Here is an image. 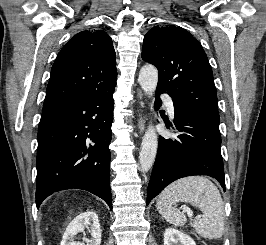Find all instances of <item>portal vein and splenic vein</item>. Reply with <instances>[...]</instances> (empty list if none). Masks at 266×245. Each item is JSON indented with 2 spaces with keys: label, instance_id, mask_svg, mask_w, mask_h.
Listing matches in <instances>:
<instances>
[{
  "label": "portal vein and splenic vein",
  "instance_id": "1",
  "mask_svg": "<svg viewBox=\"0 0 266 245\" xmlns=\"http://www.w3.org/2000/svg\"><path fill=\"white\" fill-rule=\"evenodd\" d=\"M184 211H186L187 215H189V217H193V211H191V209H188V207H183ZM198 221L200 219V215H198L197 217Z\"/></svg>",
  "mask_w": 266,
  "mask_h": 245
}]
</instances>
